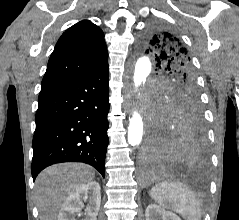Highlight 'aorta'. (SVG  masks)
Wrapping results in <instances>:
<instances>
[{"instance_id":"aorta-1","label":"aorta","mask_w":239,"mask_h":220,"mask_svg":"<svg viewBox=\"0 0 239 220\" xmlns=\"http://www.w3.org/2000/svg\"><path fill=\"white\" fill-rule=\"evenodd\" d=\"M151 63L148 57L141 56L136 60V65H133V85L135 91L139 87L144 86L151 80ZM144 131V122L141 114L134 110L129 120L128 126V143L137 147L141 144Z\"/></svg>"}]
</instances>
